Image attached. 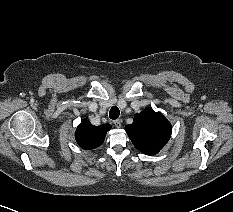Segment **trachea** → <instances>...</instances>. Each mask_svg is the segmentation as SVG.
<instances>
[{
	"label": "trachea",
	"instance_id": "trachea-1",
	"mask_svg": "<svg viewBox=\"0 0 233 212\" xmlns=\"http://www.w3.org/2000/svg\"><path fill=\"white\" fill-rule=\"evenodd\" d=\"M120 115V111L117 106H113L109 111L110 119H117Z\"/></svg>",
	"mask_w": 233,
	"mask_h": 212
}]
</instances>
